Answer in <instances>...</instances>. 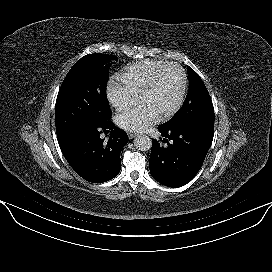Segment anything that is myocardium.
Wrapping results in <instances>:
<instances>
[{"mask_svg":"<svg viewBox=\"0 0 272 272\" xmlns=\"http://www.w3.org/2000/svg\"><path fill=\"white\" fill-rule=\"evenodd\" d=\"M170 67H175L180 71L182 76V86H181V91H180L177 102L172 108H170L168 111H166L165 113L159 116L160 120L169 119L174 114H176L179 111V109L182 107L184 99H185V95L187 91V83H188L185 70L177 63H174V62L167 63L153 75V77L144 86V88L141 90L139 94V98L141 100L146 94H148L152 89H154V87L157 85L162 74Z\"/></svg>","mask_w":272,"mask_h":272,"instance_id":"1","label":"myocardium"}]
</instances>
